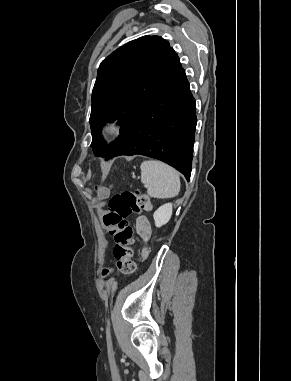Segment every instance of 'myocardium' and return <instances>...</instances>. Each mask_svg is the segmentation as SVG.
<instances>
[{
    "mask_svg": "<svg viewBox=\"0 0 291 381\" xmlns=\"http://www.w3.org/2000/svg\"><path fill=\"white\" fill-rule=\"evenodd\" d=\"M123 130V123L119 119H111L106 121L102 126V136L110 138L120 134Z\"/></svg>",
    "mask_w": 291,
    "mask_h": 381,
    "instance_id": "1",
    "label": "myocardium"
}]
</instances>
